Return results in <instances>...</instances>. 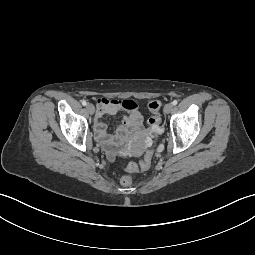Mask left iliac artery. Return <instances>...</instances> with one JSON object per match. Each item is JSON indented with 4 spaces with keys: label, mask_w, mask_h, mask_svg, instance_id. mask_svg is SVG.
<instances>
[{
    "label": "left iliac artery",
    "mask_w": 255,
    "mask_h": 255,
    "mask_svg": "<svg viewBox=\"0 0 255 255\" xmlns=\"http://www.w3.org/2000/svg\"><path fill=\"white\" fill-rule=\"evenodd\" d=\"M177 103H178L177 100H174V101L172 102V104H173L174 106L177 105Z\"/></svg>",
    "instance_id": "44dca946"
}]
</instances>
